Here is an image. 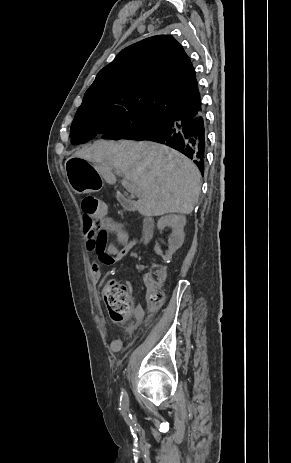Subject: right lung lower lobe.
<instances>
[{
    "label": "right lung lower lobe",
    "instance_id": "1",
    "mask_svg": "<svg viewBox=\"0 0 291 463\" xmlns=\"http://www.w3.org/2000/svg\"><path fill=\"white\" fill-rule=\"evenodd\" d=\"M135 140H151L178 150L190 158L203 175L207 139L202 110L189 117L182 114L165 115L160 126Z\"/></svg>",
    "mask_w": 291,
    "mask_h": 463
}]
</instances>
